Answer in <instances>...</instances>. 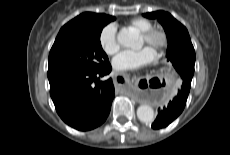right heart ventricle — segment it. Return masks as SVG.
Returning a JSON list of instances; mask_svg holds the SVG:
<instances>
[{"label": "right heart ventricle", "instance_id": "right-heart-ventricle-1", "mask_svg": "<svg viewBox=\"0 0 230 155\" xmlns=\"http://www.w3.org/2000/svg\"><path fill=\"white\" fill-rule=\"evenodd\" d=\"M128 26L134 30H136L139 33H142L151 27H153V24L150 20L143 18V17H135L128 21Z\"/></svg>", "mask_w": 230, "mask_h": 155}]
</instances>
